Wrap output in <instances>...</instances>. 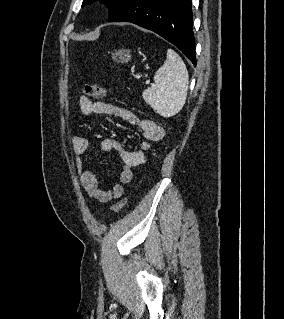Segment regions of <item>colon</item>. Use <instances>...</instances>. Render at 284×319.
Instances as JSON below:
<instances>
[{"instance_id": "obj_1", "label": "colon", "mask_w": 284, "mask_h": 319, "mask_svg": "<svg viewBox=\"0 0 284 319\" xmlns=\"http://www.w3.org/2000/svg\"><path fill=\"white\" fill-rule=\"evenodd\" d=\"M84 93L91 98L103 99L106 96V91L103 87L95 83H86L84 85ZM127 203V198H122L116 202L111 208V213L119 212Z\"/></svg>"}]
</instances>
